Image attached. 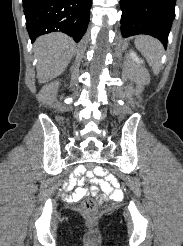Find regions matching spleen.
<instances>
[{
  "label": "spleen",
  "mask_w": 183,
  "mask_h": 246,
  "mask_svg": "<svg viewBox=\"0 0 183 246\" xmlns=\"http://www.w3.org/2000/svg\"><path fill=\"white\" fill-rule=\"evenodd\" d=\"M135 46L146 57L148 63L152 66L153 72L158 74L164 51L160 41L149 36H139L135 40Z\"/></svg>",
  "instance_id": "3e777b00"
}]
</instances>
